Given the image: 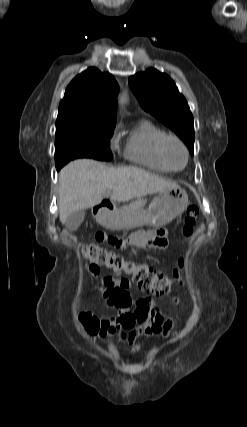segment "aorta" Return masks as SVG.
I'll return each instance as SVG.
<instances>
[{
	"label": "aorta",
	"instance_id": "762f6f07",
	"mask_svg": "<svg viewBox=\"0 0 247 427\" xmlns=\"http://www.w3.org/2000/svg\"><path fill=\"white\" fill-rule=\"evenodd\" d=\"M120 103L121 104H124V103H126V101H127V97H126V95L125 94H123L121 97H120Z\"/></svg>",
	"mask_w": 247,
	"mask_h": 427
}]
</instances>
